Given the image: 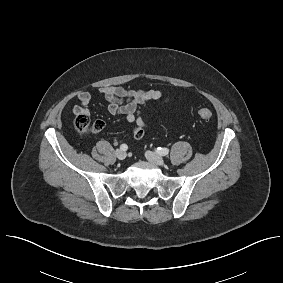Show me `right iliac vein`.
<instances>
[{"mask_svg":"<svg viewBox=\"0 0 283 283\" xmlns=\"http://www.w3.org/2000/svg\"><path fill=\"white\" fill-rule=\"evenodd\" d=\"M116 157L119 159V160H123L126 158V152L121 150V149H118L116 150Z\"/></svg>","mask_w":283,"mask_h":283,"instance_id":"63e3f726","label":"right iliac vein"}]
</instances>
